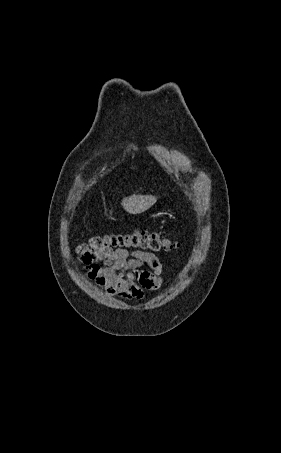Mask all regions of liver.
Wrapping results in <instances>:
<instances>
[{
	"instance_id": "6515ba94",
	"label": "liver",
	"mask_w": 281,
	"mask_h": 453,
	"mask_svg": "<svg viewBox=\"0 0 281 453\" xmlns=\"http://www.w3.org/2000/svg\"><path fill=\"white\" fill-rule=\"evenodd\" d=\"M156 200L157 196H153V194H144V196L143 194H132V196H124L121 204L129 214H138V212H144L150 208Z\"/></svg>"
}]
</instances>
